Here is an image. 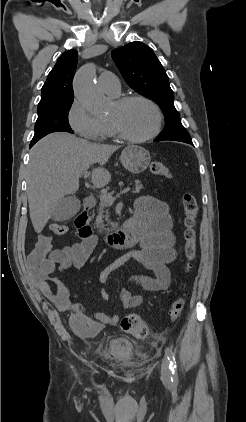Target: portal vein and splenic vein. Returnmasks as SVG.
<instances>
[{
	"label": "portal vein and splenic vein",
	"mask_w": 246,
	"mask_h": 422,
	"mask_svg": "<svg viewBox=\"0 0 246 422\" xmlns=\"http://www.w3.org/2000/svg\"><path fill=\"white\" fill-rule=\"evenodd\" d=\"M83 176L86 179L89 176V173L86 171V172L83 173ZM129 191H130V187H127V188L123 189L122 191H120V193L117 195V197H112L109 194H101L100 198L102 200H104L105 202H107L109 205H112L114 203V201L116 200V198H118L120 195L125 194Z\"/></svg>",
	"instance_id": "portal-vein-and-splenic-vein-1"
}]
</instances>
